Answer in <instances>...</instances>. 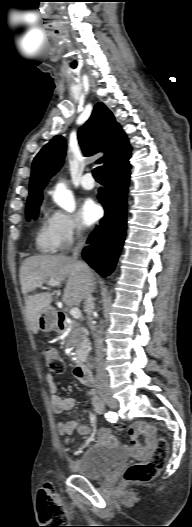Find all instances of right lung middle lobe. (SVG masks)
I'll return each instance as SVG.
<instances>
[{
  "instance_id": "obj_1",
  "label": "right lung middle lobe",
  "mask_w": 192,
  "mask_h": 527,
  "mask_svg": "<svg viewBox=\"0 0 192 527\" xmlns=\"http://www.w3.org/2000/svg\"><path fill=\"white\" fill-rule=\"evenodd\" d=\"M40 202H36L34 204H30V205H27V208H26V217L27 219L29 220L30 218H35L36 217V214L38 213L39 211V206H40Z\"/></svg>"
}]
</instances>
